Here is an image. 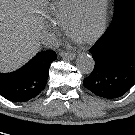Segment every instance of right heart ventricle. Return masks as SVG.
<instances>
[{
	"mask_svg": "<svg viewBox=\"0 0 135 135\" xmlns=\"http://www.w3.org/2000/svg\"><path fill=\"white\" fill-rule=\"evenodd\" d=\"M83 0H54L49 8L50 18L59 26L66 27Z\"/></svg>",
	"mask_w": 135,
	"mask_h": 135,
	"instance_id": "e07e8e85",
	"label": "right heart ventricle"
}]
</instances>
